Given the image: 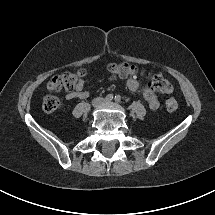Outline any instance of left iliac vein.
Listing matches in <instances>:
<instances>
[{
	"instance_id": "1",
	"label": "left iliac vein",
	"mask_w": 215,
	"mask_h": 215,
	"mask_svg": "<svg viewBox=\"0 0 215 215\" xmlns=\"http://www.w3.org/2000/svg\"><path fill=\"white\" fill-rule=\"evenodd\" d=\"M104 103H105V104H110L111 102L108 101V100H104Z\"/></svg>"
}]
</instances>
